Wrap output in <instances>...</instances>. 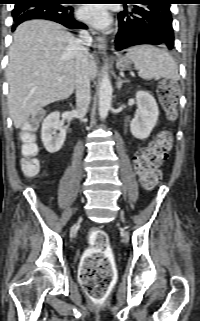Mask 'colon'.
Segmentation results:
<instances>
[{
  "label": "colon",
  "mask_w": 200,
  "mask_h": 321,
  "mask_svg": "<svg viewBox=\"0 0 200 321\" xmlns=\"http://www.w3.org/2000/svg\"><path fill=\"white\" fill-rule=\"evenodd\" d=\"M180 87L176 81H163L158 87L159 101L169 120L177 115V102ZM35 121H29L19 134L23 160L21 168L26 176L36 175L40 163L36 158L39 152L35 130ZM172 147V137L169 132L161 131L147 146L139 150L134 157V167L146 189L153 188L160 179V166L168 157ZM89 248L80 266V282L87 294L95 301H102L110 288L113 278L112 259L107 233L99 228H93L88 236Z\"/></svg>",
  "instance_id": "colon-1"
}]
</instances>
